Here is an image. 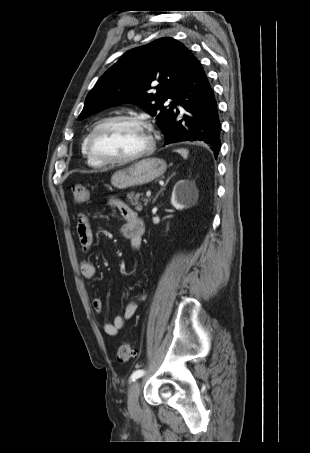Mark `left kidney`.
<instances>
[{
  "label": "left kidney",
  "instance_id": "5707ae66",
  "mask_svg": "<svg viewBox=\"0 0 310 453\" xmlns=\"http://www.w3.org/2000/svg\"><path fill=\"white\" fill-rule=\"evenodd\" d=\"M195 189L185 183L184 180L179 181L172 192L171 204L177 210L184 209L190 204L195 195Z\"/></svg>",
  "mask_w": 310,
  "mask_h": 453
}]
</instances>
